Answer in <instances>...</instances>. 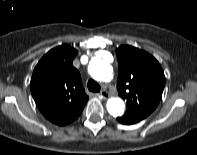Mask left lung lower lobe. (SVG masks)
Listing matches in <instances>:
<instances>
[{
    "mask_svg": "<svg viewBox=\"0 0 197 155\" xmlns=\"http://www.w3.org/2000/svg\"><path fill=\"white\" fill-rule=\"evenodd\" d=\"M117 120H118L120 123L126 124V125H130V124L136 123V122H134L133 120H131V119L127 118V117H124V116L118 117Z\"/></svg>",
    "mask_w": 197,
    "mask_h": 155,
    "instance_id": "1",
    "label": "left lung lower lobe"
}]
</instances>
